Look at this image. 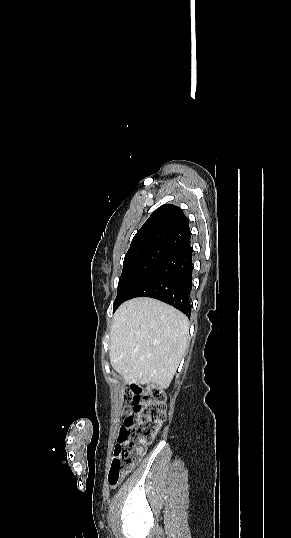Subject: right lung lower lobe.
I'll return each instance as SVG.
<instances>
[{"instance_id": "right-lung-lower-lobe-1", "label": "right lung lower lobe", "mask_w": 291, "mask_h": 538, "mask_svg": "<svg viewBox=\"0 0 291 538\" xmlns=\"http://www.w3.org/2000/svg\"><path fill=\"white\" fill-rule=\"evenodd\" d=\"M192 247L190 240L172 249L140 281L129 299L146 296L170 304L191 315Z\"/></svg>"}]
</instances>
